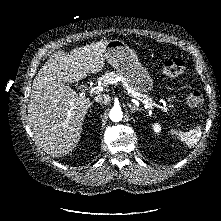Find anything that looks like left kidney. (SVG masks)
I'll use <instances>...</instances> for the list:
<instances>
[{
  "mask_svg": "<svg viewBox=\"0 0 221 221\" xmlns=\"http://www.w3.org/2000/svg\"><path fill=\"white\" fill-rule=\"evenodd\" d=\"M152 129L155 133L159 134L161 132V126L158 123L152 125Z\"/></svg>",
  "mask_w": 221,
  "mask_h": 221,
  "instance_id": "1",
  "label": "left kidney"
}]
</instances>
